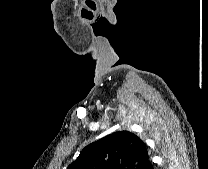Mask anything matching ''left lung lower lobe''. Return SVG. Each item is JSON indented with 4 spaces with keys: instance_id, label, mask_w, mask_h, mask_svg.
<instances>
[{
    "instance_id": "left-lung-lower-lobe-1",
    "label": "left lung lower lobe",
    "mask_w": 208,
    "mask_h": 169,
    "mask_svg": "<svg viewBox=\"0 0 208 169\" xmlns=\"http://www.w3.org/2000/svg\"><path fill=\"white\" fill-rule=\"evenodd\" d=\"M143 169H153V165L151 163L150 158L148 159V161L146 162L145 166L143 167Z\"/></svg>"
}]
</instances>
